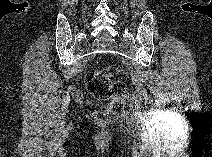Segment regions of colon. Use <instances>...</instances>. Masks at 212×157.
<instances>
[{
    "instance_id": "colon-1",
    "label": "colon",
    "mask_w": 212,
    "mask_h": 157,
    "mask_svg": "<svg viewBox=\"0 0 212 157\" xmlns=\"http://www.w3.org/2000/svg\"><path fill=\"white\" fill-rule=\"evenodd\" d=\"M118 69L110 66L99 70L91 71L86 77V88L88 92L100 100H112L110 110L118 113L121 110L120 99L126 94V84L121 80H113ZM97 118L103 120L104 113H98Z\"/></svg>"
}]
</instances>
